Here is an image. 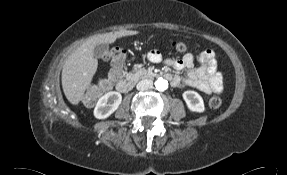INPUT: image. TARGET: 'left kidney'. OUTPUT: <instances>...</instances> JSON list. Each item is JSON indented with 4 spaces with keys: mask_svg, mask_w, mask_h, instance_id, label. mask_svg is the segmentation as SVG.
I'll use <instances>...</instances> for the list:
<instances>
[{
    "mask_svg": "<svg viewBox=\"0 0 287 175\" xmlns=\"http://www.w3.org/2000/svg\"><path fill=\"white\" fill-rule=\"evenodd\" d=\"M182 97L187 105V108L192 112L201 113L204 111L203 98L194 91H185Z\"/></svg>",
    "mask_w": 287,
    "mask_h": 175,
    "instance_id": "5707ae66",
    "label": "left kidney"
}]
</instances>
